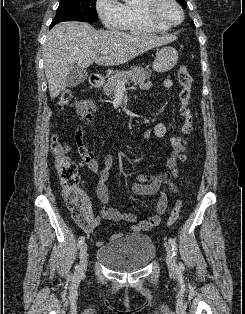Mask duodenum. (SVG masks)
I'll list each match as a JSON object with an SVG mask.
<instances>
[{
    "instance_id": "410a0bca",
    "label": "duodenum",
    "mask_w": 245,
    "mask_h": 314,
    "mask_svg": "<svg viewBox=\"0 0 245 314\" xmlns=\"http://www.w3.org/2000/svg\"><path fill=\"white\" fill-rule=\"evenodd\" d=\"M89 82L93 88H99L101 86V78L98 75H91Z\"/></svg>"
}]
</instances>
